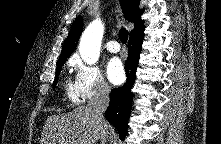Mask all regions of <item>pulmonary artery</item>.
I'll return each mask as SVG.
<instances>
[{
    "label": "pulmonary artery",
    "instance_id": "e3ab8cb5",
    "mask_svg": "<svg viewBox=\"0 0 221 144\" xmlns=\"http://www.w3.org/2000/svg\"><path fill=\"white\" fill-rule=\"evenodd\" d=\"M106 49L111 53H117L120 51V45L117 41H109L106 45Z\"/></svg>",
    "mask_w": 221,
    "mask_h": 144
}]
</instances>
